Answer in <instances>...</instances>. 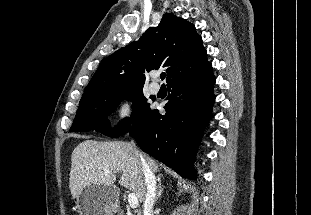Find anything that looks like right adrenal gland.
Wrapping results in <instances>:
<instances>
[{
	"label": "right adrenal gland",
	"mask_w": 311,
	"mask_h": 215,
	"mask_svg": "<svg viewBox=\"0 0 311 215\" xmlns=\"http://www.w3.org/2000/svg\"><path fill=\"white\" fill-rule=\"evenodd\" d=\"M158 190H157V194H156V197H155V202L160 198L163 190H164V187H162V184H161V175L158 176Z\"/></svg>",
	"instance_id": "1"
}]
</instances>
